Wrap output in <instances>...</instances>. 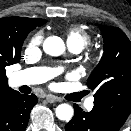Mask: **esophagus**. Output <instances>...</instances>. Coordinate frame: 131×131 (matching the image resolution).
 I'll list each match as a JSON object with an SVG mask.
<instances>
[{
    "label": "esophagus",
    "mask_w": 131,
    "mask_h": 131,
    "mask_svg": "<svg viewBox=\"0 0 131 131\" xmlns=\"http://www.w3.org/2000/svg\"><path fill=\"white\" fill-rule=\"evenodd\" d=\"M46 100L49 103H54V102H61L62 99L60 97L54 96V95H46Z\"/></svg>",
    "instance_id": "esophagus-1"
}]
</instances>
